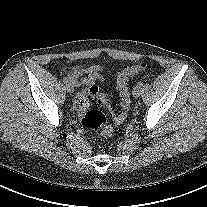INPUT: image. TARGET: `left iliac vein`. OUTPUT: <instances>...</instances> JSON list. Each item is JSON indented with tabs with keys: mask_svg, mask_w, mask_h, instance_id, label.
<instances>
[{
	"mask_svg": "<svg viewBox=\"0 0 207 207\" xmlns=\"http://www.w3.org/2000/svg\"><path fill=\"white\" fill-rule=\"evenodd\" d=\"M141 95V87H139L138 85L134 87L133 89V96L134 97H139Z\"/></svg>",
	"mask_w": 207,
	"mask_h": 207,
	"instance_id": "1",
	"label": "left iliac vein"
}]
</instances>
